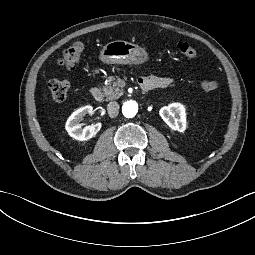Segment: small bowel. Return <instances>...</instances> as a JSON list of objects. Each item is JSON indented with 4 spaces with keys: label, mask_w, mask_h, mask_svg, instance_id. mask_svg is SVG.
<instances>
[{
    "label": "small bowel",
    "mask_w": 255,
    "mask_h": 255,
    "mask_svg": "<svg viewBox=\"0 0 255 255\" xmlns=\"http://www.w3.org/2000/svg\"><path fill=\"white\" fill-rule=\"evenodd\" d=\"M147 80H149L153 84V86L161 88L168 86L172 82V79L169 77H155Z\"/></svg>",
    "instance_id": "small-bowel-1"
}]
</instances>
